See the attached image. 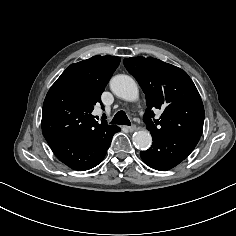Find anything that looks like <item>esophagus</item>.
Returning a JSON list of instances; mask_svg holds the SVG:
<instances>
[{"instance_id":"esophagus-1","label":"esophagus","mask_w":236,"mask_h":236,"mask_svg":"<svg viewBox=\"0 0 236 236\" xmlns=\"http://www.w3.org/2000/svg\"><path fill=\"white\" fill-rule=\"evenodd\" d=\"M129 132H134L136 130V126L135 125H131L127 127Z\"/></svg>"}]
</instances>
